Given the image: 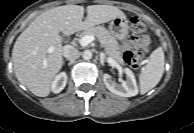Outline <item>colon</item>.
<instances>
[{"label": "colon", "mask_w": 194, "mask_h": 133, "mask_svg": "<svg viewBox=\"0 0 194 133\" xmlns=\"http://www.w3.org/2000/svg\"><path fill=\"white\" fill-rule=\"evenodd\" d=\"M130 25L133 33L135 34L142 35L146 32L145 24L138 17H132L130 20ZM143 58L144 54L138 52L136 48H133L132 50H129L124 54L125 62L134 68L138 67L141 64Z\"/></svg>", "instance_id": "5ec220e1"}]
</instances>
